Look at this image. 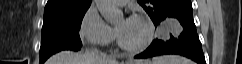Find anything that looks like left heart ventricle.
Masks as SVG:
<instances>
[{"mask_svg":"<svg viewBox=\"0 0 242 64\" xmlns=\"http://www.w3.org/2000/svg\"><path fill=\"white\" fill-rule=\"evenodd\" d=\"M116 27L124 42L131 46L141 44L147 37V27L137 20L121 19Z\"/></svg>","mask_w":242,"mask_h":64,"instance_id":"1","label":"left heart ventricle"}]
</instances>
